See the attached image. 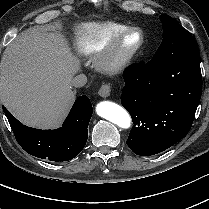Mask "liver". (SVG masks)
Segmentation results:
<instances>
[{
  "label": "liver",
  "instance_id": "liver-1",
  "mask_svg": "<svg viewBox=\"0 0 209 209\" xmlns=\"http://www.w3.org/2000/svg\"><path fill=\"white\" fill-rule=\"evenodd\" d=\"M79 69L59 31L27 29L3 52L1 101L24 124L56 128L75 100L71 81Z\"/></svg>",
  "mask_w": 209,
  "mask_h": 209
}]
</instances>
